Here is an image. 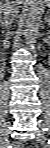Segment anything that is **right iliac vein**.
Returning <instances> with one entry per match:
<instances>
[{"label":"right iliac vein","instance_id":"1","mask_svg":"<svg viewBox=\"0 0 50 148\" xmlns=\"http://www.w3.org/2000/svg\"><path fill=\"white\" fill-rule=\"evenodd\" d=\"M7 141V133L5 129H2L1 133H0V147L3 148L4 144Z\"/></svg>","mask_w":50,"mask_h":148}]
</instances>
